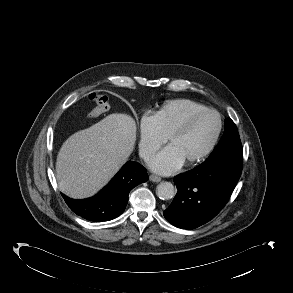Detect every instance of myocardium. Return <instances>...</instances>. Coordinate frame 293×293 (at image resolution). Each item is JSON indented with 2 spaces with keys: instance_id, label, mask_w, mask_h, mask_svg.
I'll list each match as a JSON object with an SVG mask.
<instances>
[{
  "instance_id": "1",
  "label": "myocardium",
  "mask_w": 293,
  "mask_h": 293,
  "mask_svg": "<svg viewBox=\"0 0 293 293\" xmlns=\"http://www.w3.org/2000/svg\"><path fill=\"white\" fill-rule=\"evenodd\" d=\"M205 114H213V115L216 116L217 121H218V126H217L216 133H215L213 139L211 140V142L209 143V145L204 149V151H202L199 155H197L196 157L192 158L191 160L185 162L186 166H194V165L202 162L203 160H205L211 154V152L216 147V145H217V143H218V141L220 139L222 129H223V121H222V117H221L220 113L218 111L214 110V109H209V108L197 111V112L191 114L190 116H188L167 137V142L169 143L173 138L184 134L190 128V126L193 124V122L196 119H198L199 117H201L202 115H205Z\"/></svg>"
}]
</instances>
